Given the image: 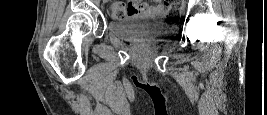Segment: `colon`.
<instances>
[{"label":"colon","mask_w":267,"mask_h":115,"mask_svg":"<svg viewBox=\"0 0 267 115\" xmlns=\"http://www.w3.org/2000/svg\"><path fill=\"white\" fill-rule=\"evenodd\" d=\"M184 0H169L165 2L167 16L169 19H176L180 15ZM131 5L116 3L109 8L108 14L113 19H118L125 14L132 13Z\"/></svg>","instance_id":"colon-1"}]
</instances>
